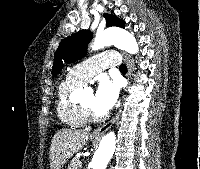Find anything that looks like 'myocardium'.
Segmentation results:
<instances>
[{"label": "myocardium", "mask_w": 200, "mask_h": 169, "mask_svg": "<svg viewBox=\"0 0 200 169\" xmlns=\"http://www.w3.org/2000/svg\"><path fill=\"white\" fill-rule=\"evenodd\" d=\"M86 117L91 122H99L105 119L106 114H97L91 107L86 105L85 103L82 104Z\"/></svg>", "instance_id": "myocardium-1"}]
</instances>
